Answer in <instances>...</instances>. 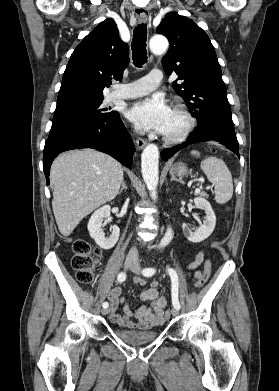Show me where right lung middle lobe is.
<instances>
[{"instance_id":"obj_1","label":"right lung middle lobe","mask_w":279,"mask_h":391,"mask_svg":"<svg viewBox=\"0 0 279 391\" xmlns=\"http://www.w3.org/2000/svg\"><path fill=\"white\" fill-rule=\"evenodd\" d=\"M102 101L103 99L87 101L56 109L52 124L86 120L97 121L116 113V111H109L106 108H101Z\"/></svg>"}]
</instances>
